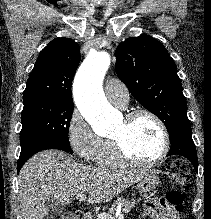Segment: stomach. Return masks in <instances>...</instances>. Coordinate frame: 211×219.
Listing matches in <instances>:
<instances>
[{"instance_id":"obj_1","label":"stomach","mask_w":211,"mask_h":219,"mask_svg":"<svg viewBox=\"0 0 211 219\" xmlns=\"http://www.w3.org/2000/svg\"><path fill=\"white\" fill-rule=\"evenodd\" d=\"M158 185L159 177L157 176V172L153 170H145L144 174L136 182V187L141 193L153 191Z\"/></svg>"}]
</instances>
